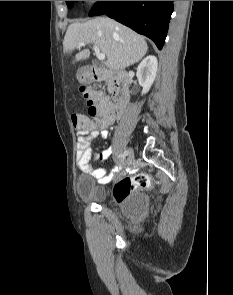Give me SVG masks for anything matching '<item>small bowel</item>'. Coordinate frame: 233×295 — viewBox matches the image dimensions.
<instances>
[{
  "label": "small bowel",
  "instance_id": "1",
  "mask_svg": "<svg viewBox=\"0 0 233 295\" xmlns=\"http://www.w3.org/2000/svg\"><path fill=\"white\" fill-rule=\"evenodd\" d=\"M98 105L105 112L104 119L95 127L86 130H79L77 143V166L80 171L90 174L96 178L100 183H108L112 177L121 169V159L116 158V164L110 168V174H106V168L92 169L91 159L93 156L92 141L96 138L105 139L108 136V127L112 125L118 115L114 110L113 104L109 97L99 94L97 98ZM113 153V148L110 146L102 153L96 154L95 159L105 162Z\"/></svg>",
  "mask_w": 233,
  "mask_h": 295
}]
</instances>
